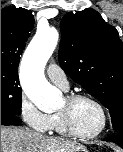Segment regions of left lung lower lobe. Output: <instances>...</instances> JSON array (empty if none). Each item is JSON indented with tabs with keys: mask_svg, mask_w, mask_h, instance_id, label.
<instances>
[{
	"mask_svg": "<svg viewBox=\"0 0 123 152\" xmlns=\"http://www.w3.org/2000/svg\"><path fill=\"white\" fill-rule=\"evenodd\" d=\"M105 140L114 142V143L118 144L120 147L123 148V135L117 134L115 136L106 138Z\"/></svg>",
	"mask_w": 123,
	"mask_h": 152,
	"instance_id": "obj_1",
	"label": "left lung lower lobe"
}]
</instances>
